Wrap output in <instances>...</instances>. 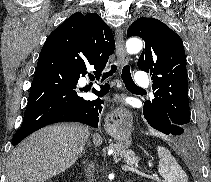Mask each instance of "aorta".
Instances as JSON below:
<instances>
[{
    "mask_svg": "<svg viewBox=\"0 0 211 182\" xmlns=\"http://www.w3.org/2000/svg\"><path fill=\"white\" fill-rule=\"evenodd\" d=\"M143 43L138 38H130L126 42V51L129 54H135L141 51Z\"/></svg>",
    "mask_w": 211,
    "mask_h": 182,
    "instance_id": "obj_1",
    "label": "aorta"
}]
</instances>
